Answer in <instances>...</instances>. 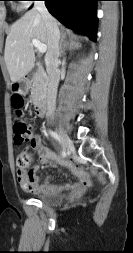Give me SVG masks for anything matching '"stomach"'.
Segmentation results:
<instances>
[{
    "label": "stomach",
    "instance_id": "stomach-1",
    "mask_svg": "<svg viewBox=\"0 0 133 253\" xmlns=\"http://www.w3.org/2000/svg\"><path fill=\"white\" fill-rule=\"evenodd\" d=\"M28 87L29 83L21 78L17 83L12 85V90L24 92L28 89Z\"/></svg>",
    "mask_w": 133,
    "mask_h": 253
}]
</instances>
